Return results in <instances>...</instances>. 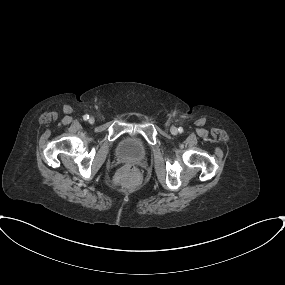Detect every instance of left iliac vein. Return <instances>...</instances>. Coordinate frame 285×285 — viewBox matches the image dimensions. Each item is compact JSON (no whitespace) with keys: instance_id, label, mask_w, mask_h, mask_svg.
Returning <instances> with one entry per match:
<instances>
[{"instance_id":"obj_1","label":"left iliac vein","mask_w":285,"mask_h":285,"mask_svg":"<svg viewBox=\"0 0 285 285\" xmlns=\"http://www.w3.org/2000/svg\"><path fill=\"white\" fill-rule=\"evenodd\" d=\"M170 130H171V133H172V134H174V135H175V134H177V132H178V131H177V128H176V127H174V126H173V127H171V129H170Z\"/></svg>"}]
</instances>
